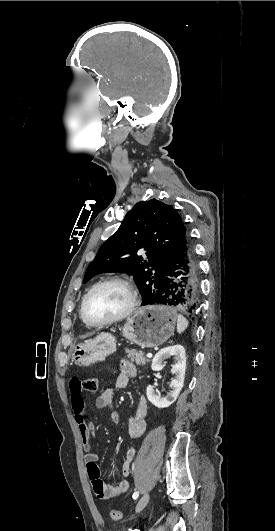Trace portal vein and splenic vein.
<instances>
[{"mask_svg": "<svg viewBox=\"0 0 275 531\" xmlns=\"http://www.w3.org/2000/svg\"><path fill=\"white\" fill-rule=\"evenodd\" d=\"M146 357H148V359H151L152 353H148V355H146Z\"/></svg>", "mask_w": 275, "mask_h": 531, "instance_id": "1", "label": "portal vein and splenic vein"}]
</instances>
